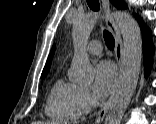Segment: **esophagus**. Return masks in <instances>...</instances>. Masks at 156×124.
<instances>
[{"label": "esophagus", "mask_w": 156, "mask_h": 124, "mask_svg": "<svg viewBox=\"0 0 156 124\" xmlns=\"http://www.w3.org/2000/svg\"><path fill=\"white\" fill-rule=\"evenodd\" d=\"M102 5H103L104 12H105V23L115 39L114 52H115L116 63L118 65V69H119V74H118V78H117L114 90H113L111 96L109 97L108 101L100 109V111L96 117L95 124H100L104 120V118L111 106L114 95L119 86L120 78H121L122 71H123V65H124V49H123V41L121 38L120 30H119L118 26L116 25V22L113 18L109 1L102 0Z\"/></svg>", "instance_id": "1"}]
</instances>
